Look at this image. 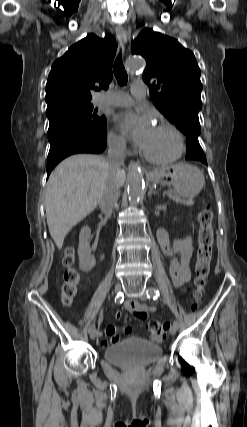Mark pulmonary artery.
<instances>
[{
  "instance_id": "obj_1",
  "label": "pulmonary artery",
  "mask_w": 247,
  "mask_h": 427,
  "mask_svg": "<svg viewBox=\"0 0 247 427\" xmlns=\"http://www.w3.org/2000/svg\"><path fill=\"white\" fill-rule=\"evenodd\" d=\"M146 93L145 85L141 82L134 83L131 88V95L118 93L115 95L105 96L103 102L113 106H130L135 100L141 101Z\"/></svg>"
}]
</instances>
